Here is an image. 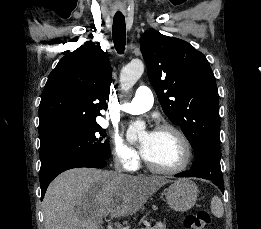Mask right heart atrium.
Returning a JSON list of instances; mask_svg holds the SVG:
<instances>
[{
  "label": "right heart atrium",
  "instance_id": "1",
  "mask_svg": "<svg viewBox=\"0 0 261 229\" xmlns=\"http://www.w3.org/2000/svg\"><path fill=\"white\" fill-rule=\"evenodd\" d=\"M115 162L125 171L134 172L140 166V156L135 148L118 136L112 141Z\"/></svg>",
  "mask_w": 261,
  "mask_h": 229
}]
</instances>
